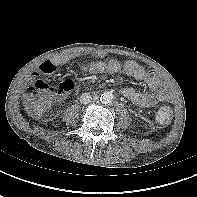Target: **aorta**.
I'll return each mask as SVG.
<instances>
[{
	"mask_svg": "<svg viewBox=\"0 0 197 197\" xmlns=\"http://www.w3.org/2000/svg\"><path fill=\"white\" fill-rule=\"evenodd\" d=\"M113 98H114V96H113L112 92L107 91V92H104L101 94L100 101L103 104H109L113 101Z\"/></svg>",
	"mask_w": 197,
	"mask_h": 197,
	"instance_id": "762f6f07",
	"label": "aorta"
}]
</instances>
